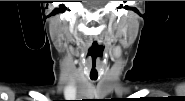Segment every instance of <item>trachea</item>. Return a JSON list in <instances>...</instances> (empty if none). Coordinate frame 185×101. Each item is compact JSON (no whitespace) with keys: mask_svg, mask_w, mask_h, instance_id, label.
<instances>
[{"mask_svg":"<svg viewBox=\"0 0 185 101\" xmlns=\"http://www.w3.org/2000/svg\"><path fill=\"white\" fill-rule=\"evenodd\" d=\"M90 78L92 80H96L98 78V71H97L96 63H92L91 71H90Z\"/></svg>","mask_w":185,"mask_h":101,"instance_id":"1","label":"trachea"}]
</instances>
